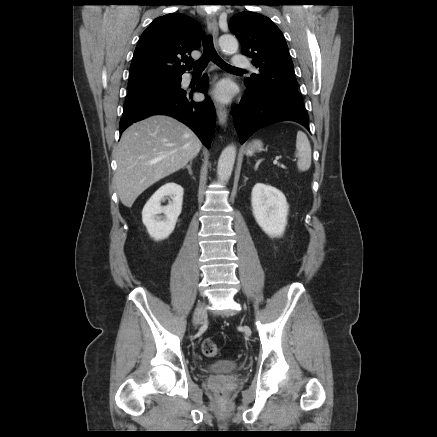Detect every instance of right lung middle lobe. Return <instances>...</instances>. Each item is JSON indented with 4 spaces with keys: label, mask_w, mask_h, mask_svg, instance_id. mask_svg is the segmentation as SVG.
Segmentation results:
<instances>
[{
    "label": "right lung middle lobe",
    "mask_w": 437,
    "mask_h": 437,
    "mask_svg": "<svg viewBox=\"0 0 437 437\" xmlns=\"http://www.w3.org/2000/svg\"><path fill=\"white\" fill-rule=\"evenodd\" d=\"M181 77H147L131 79L128 89V99L161 92L177 85Z\"/></svg>",
    "instance_id": "dd1d6c3e"
}]
</instances>
